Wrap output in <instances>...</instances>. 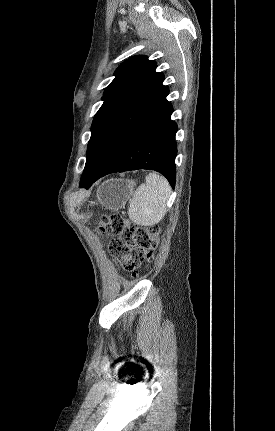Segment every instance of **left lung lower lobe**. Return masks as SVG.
Returning <instances> with one entry per match:
<instances>
[{
	"instance_id": "0a47b994",
	"label": "left lung lower lobe",
	"mask_w": 275,
	"mask_h": 431,
	"mask_svg": "<svg viewBox=\"0 0 275 431\" xmlns=\"http://www.w3.org/2000/svg\"><path fill=\"white\" fill-rule=\"evenodd\" d=\"M173 107L167 102L123 148L102 172L89 176L81 187L88 189L99 178L115 172L151 169L163 174L172 188L176 182L177 124L171 120Z\"/></svg>"
}]
</instances>
